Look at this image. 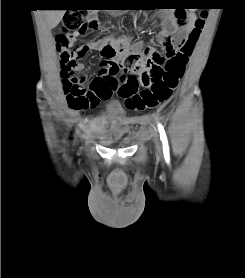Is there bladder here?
<instances>
[{
  "label": "bladder",
  "instance_id": "obj_1",
  "mask_svg": "<svg viewBox=\"0 0 245 278\" xmlns=\"http://www.w3.org/2000/svg\"><path fill=\"white\" fill-rule=\"evenodd\" d=\"M108 122V128L102 134V141L107 145L128 147L134 142L133 130L121 123L126 120V112L122 104L117 101H111L108 104V110L105 114Z\"/></svg>",
  "mask_w": 245,
  "mask_h": 278
}]
</instances>
